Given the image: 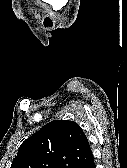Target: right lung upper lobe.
<instances>
[{
    "mask_svg": "<svg viewBox=\"0 0 127 168\" xmlns=\"http://www.w3.org/2000/svg\"><path fill=\"white\" fill-rule=\"evenodd\" d=\"M93 157L81 127L66 120H53L25 140L11 168H75Z\"/></svg>",
    "mask_w": 127,
    "mask_h": 168,
    "instance_id": "obj_1",
    "label": "right lung upper lobe"
}]
</instances>
